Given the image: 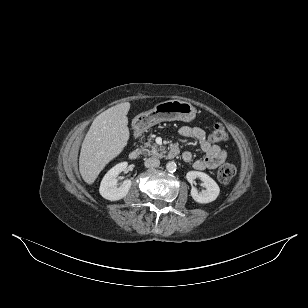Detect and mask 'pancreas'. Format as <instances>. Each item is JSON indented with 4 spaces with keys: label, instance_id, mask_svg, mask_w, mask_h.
Returning <instances> with one entry per match:
<instances>
[{
    "label": "pancreas",
    "instance_id": "pancreas-1",
    "mask_svg": "<svg viewBox=\"0 0 308 308\" xmlns=\"http://www.w3.org/2000/svg\"><path fill=\"white\" fill-rule=\"evenodd\" d=\"M141 152L144 156H155V157H163V153H165L164 148L158 147L156 143H153L151 139L144 143L141 146Z\"/></svg>",
    "mask_w": 308,
    "mask_h": 308
}]
</instances>
